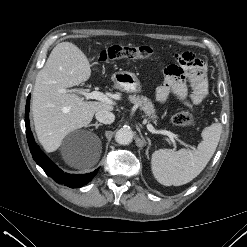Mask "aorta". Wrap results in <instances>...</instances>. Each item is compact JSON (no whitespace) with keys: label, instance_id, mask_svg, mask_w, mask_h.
Here are the masks:
<instances>
[{"label":"aorta","instance_id":"1","mask_svg":"<svg viewBox=\"0 0 247 247\" xmlns=\"http://www.w3.org/2000/svg\"><path fill=\"white\" fill-rule=\"evenodd\" d=\"M115 140L120 145H128L133 140V132L129 128H121L115 134Z\"/></svg>","mask_w":247,"mask_h":247}]
</instances>
